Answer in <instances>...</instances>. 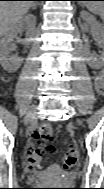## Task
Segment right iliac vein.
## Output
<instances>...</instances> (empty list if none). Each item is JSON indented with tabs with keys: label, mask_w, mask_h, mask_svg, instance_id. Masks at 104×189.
I'll return each mask as SVG.
<instances>
[{
	"label": "right iliac vein",
	"mask_w": 104,
	"mask_h": 189,
	"mask_svg": "<svg viewBox=\"0 0 104 189\" xmlns=\"http://www.w3.org/2000/svg\"><path fill=\"white\" fill-rule=\"evenodd\" d=\"M35 115L36 111L35 108H32L26 115L25 123L27 126H30L34 123L35 121Z\"/></svg>",
	"instance_id": "1"
}]
</instances>
